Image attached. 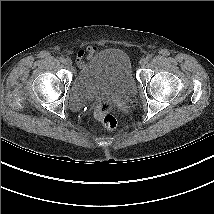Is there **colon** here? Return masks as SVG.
<instances>
[{
    "instance_id": "5ec220e1",
    "label": "colon",
    "mask_w": 214,
    "mask_h": 214,
    "mask_svg": "<svg viewBox=\"0 0 214 214\" xmlns=\"http://www.w3.org/2000/svg\"><path fill=\"white\" fill-rule=\"evenodd\" d=\"M95 114L106 130H114L117 127V119L112 114V105L109 102H96Z\"/></svg>"
}]
</instances>
